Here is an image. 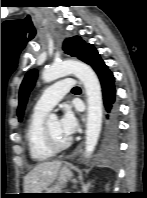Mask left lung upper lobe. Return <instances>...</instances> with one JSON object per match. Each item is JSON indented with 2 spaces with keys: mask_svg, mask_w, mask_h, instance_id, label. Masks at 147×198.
Returning <instances> with one entry per match:
<instances>
[{
  "mask_svg": "<svg viewBox=\"0 0 147 198\" xmlns=\"http://www.w3.org/2000/svg\"><path fill=\"white\" fill-rule=\"evenodd\" d=\"M91 44L85 43L79 36H74L68 38L63 43V49L66 54L73 57H78L80 60L84 61L85 54ZM37 78V70H30L20 87L19 91V106H18V118L19 121L22 120L23 113L25 110V105L29 96V92L32 90Z\"/></svg>",
  "mask_w": 147,
  "mask_h": 198,
  "instance_id": "5c2ea615",
  "label": "left lung upper lobe"
}]
</instances>
